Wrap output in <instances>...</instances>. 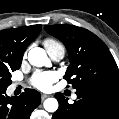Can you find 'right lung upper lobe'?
I'll use <instances>...</instances> for the list:
<instances>
[{"instance_id":"right-lung-upper-lobe-1","label":"right lung upper lobe","mask_w":119,"mask_h":119,"mask_svg":"<svg viewBox=\"0 0 119 119\" xmlns=\"http://www.w3.org/2000/svg\"><path fill=\"white\" fill-rule=\"evenodd\" d=\"M41 28V25H32L0 31V68L19 69L24 51Z\"/></svg>"}]
</instances>
